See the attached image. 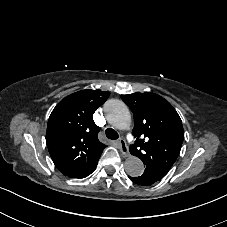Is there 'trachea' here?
Segmentation results:
<instances>
[{
  "label": "trachea",
  "mask_w": 227,
  "mask_h": 227,
  "mask_svg": "<svg viewBox=\"0 0 227 227\" xmlns=\"http://www.w3.org/2000/svg\"><path fill=\"white\" fill-rule=\"evenodd\" d=\"M105 135L110 140H117L118 139V133L112 128H107L105 130Z\"/></svg>",
  "instance_id": "1"
}]
</instances>
